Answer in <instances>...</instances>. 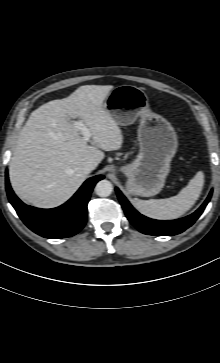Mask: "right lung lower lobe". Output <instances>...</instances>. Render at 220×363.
<instances>
[{
	"label": "right lung lower lobe",
	"instance_id": "obj_1",
	"mask_svg": "<svg viewBox=\"0 0 220 363\" xmlns=\"http://www.w3.org/2000/svg\"><path fill=\"white\" fill-rule=\"evenodd\" d=\"M103 178L97 175L88 179L69 201L53 209L25 205L11 189L7 172L6 190L10 203L28 228L42 237L58 239L73 236L84 227L92 189Z\"/></svg>",
	"mask_w": 220,
	"mask_h": 363
}]
</instances>
